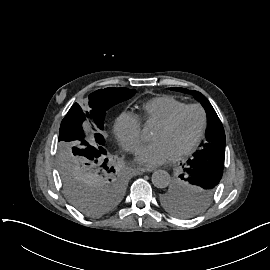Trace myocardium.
<instances>
[{
    "mask_svg": "<svg viewBox=\"0 0 270 270\" xmlns=\"http://www.w3.org/2000/svg\"><path fill=\"white\" fill-rule=\"evenodd\" d=\"M189 110H196L199 112V114H200L199 130H198V133H197L196 137L194 138V140L188 146H186L185 148H183L182 150H180L177 153L178 158H181L185 155H188L193 150H195V148L198 146V144L203 136L204 129L206 126V113H205L204 109L200 105H197V104L187 105V106L183 107L182 109L178 110L177 112H175L167 120L159 123V125L162 127H165L168 129L172 128L176 125V123L179 121V119L182 117V115Z\"/></svg>",
    "mask_w": 270,
    "mask_h": 270,
    "instance_id": "f54148a6",
    "label": "myocardium"
}]
</instances>
